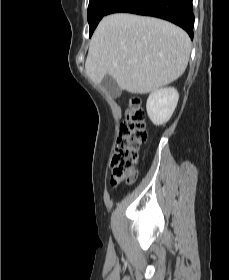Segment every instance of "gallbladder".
Segmentation results:
<instances>
[{
	"label": "gallbladder",
	"mask_w": 229,
	"mask_h": 280,
	"mask_svg": "<svg viewBox=\"0 0 229 280\" xmlns=\"http://www.w3.org/2000/svg\"><path fill=\"white\" fill-rule=\"evenodd\" d=\"M100 86L105 89L112 98H117L121 95L120 87L110 75H106L103 78Z\"/></svg>",
	"instance_id": "gallbladder-1"
}]
</instances>
